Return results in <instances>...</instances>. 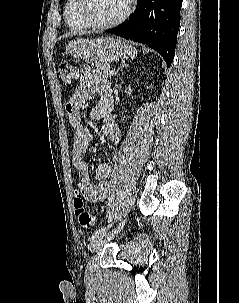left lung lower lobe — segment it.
<instances>
[{
	"label": "left lung lower lobe",
	"instance_id": "0a47b994",
	"mask_svg": "<svg viewBox=\"0 0 239 303\" xmlns=\"http://www.w3.org/2000/svg\"><path fill=\"white\" fill-rule=\"evenodd\" d=\"M181 5V0H137L134 15L106 32L148 45L170 67L175 55Z\"/></svg>",
	"mask_w": 239,
	"mask_h": 303
}]
</instances>
